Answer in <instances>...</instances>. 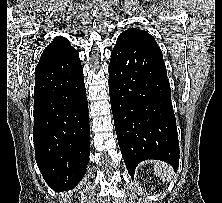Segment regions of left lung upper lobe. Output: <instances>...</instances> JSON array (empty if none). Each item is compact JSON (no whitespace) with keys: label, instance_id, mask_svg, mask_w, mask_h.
<instances>
[{"label":"left lung upper lobe","instance_id":"left-lung-upper-lobe-1","mask_svg":"<svg viewBox=\"0 0 222 203\" xmlns=\"http://www.w3.org/2000/svg\"><path fill=\"white\" fill-rule=\"evenodd\" d=\"M125 34H142L145 37H147L149 40H151L153 43H156L153 36H151L148 32L141 30V29L131 28V29H128V30L124 31L123 33H121L120 36L125 35Z\"/></svg>","mask_w":222,"mask_h":203}]
</instances>
